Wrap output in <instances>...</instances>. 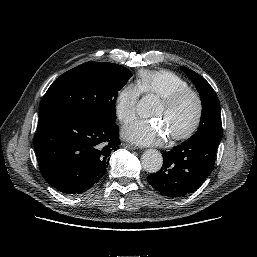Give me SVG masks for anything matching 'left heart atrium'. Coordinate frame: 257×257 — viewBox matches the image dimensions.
Segmentation results:
<instances>
[{
    "mask_svg": "<svg viewBox=\"0 0 257 257\" xmlns=\"http://www.w3.org/2000/svg\"><path fill=\"white\" fill-rule=\"evenodd\" d=\"M123 136L138 144H161L166 136L155 121L137 120L123 129Z\"/></svg>",
    "mask_w": 257,
    "mask_h": 257,
    "instance_id": "obj_1",
    "label": "left heart atrium"
}]
</instances>
